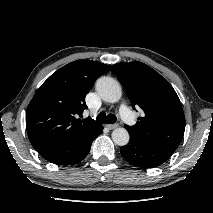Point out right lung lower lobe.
<instances>
[{
  "instance_id": "right-lung-lower-lobe-1",
  "label": "right lung lower lobe",
  "mask_w": 213,
  "mask_h": 213,
  "mask_svg": "<svg viewBox=\"0 0 213 213\" xmlns=\"http://www.w3.org/2000/svg\"><path fill=\"white\" fill-rule=\"evenodd\" d=\"M102 131L103 127L99 125L94 131L70 145L40 147L36 150L49 162L57 165H73L82 161L87 156L93 140L100 135Z\"/></svg>"
}]
</instances>
